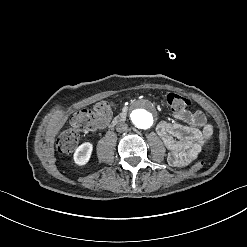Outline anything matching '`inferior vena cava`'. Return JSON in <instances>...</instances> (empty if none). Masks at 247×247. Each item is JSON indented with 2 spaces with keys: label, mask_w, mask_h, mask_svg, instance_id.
Listing matches in <instances>:
<instances>
[{
  "label": "inferior vena cava",
  "mask_w": 247,
  "mask_h": 247,
  "mask_svg": "<svg viewBox=\"0 0 247 247\" xmlns=\"http://www.w3.org/2000/svg\"><path fill=\"white\" fill-rule=\"evenodd\" d=\"M128 125L124 122H120L116 125V130L118 132H125L127 131Z\"/></svg>",
  "instance_id": "obj_1"
}]
</instances>
